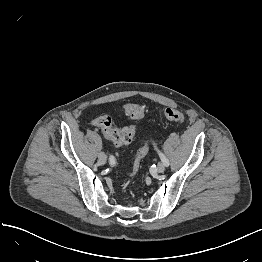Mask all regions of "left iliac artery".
<instances>
[{
    "label": "left iliac artery",
    "instance_id": "44dca946",
    "mask_svg": "<svg viewBox=\"0 0 262 262\" xmlns=\"http://www.w3.org/2000/svg\"><path fill=\"white\" fill-rule=\"evenodd\" d=\"M156 150H157V152H158V154H159L162 162H163L166 166H168V165H169V160L165 157V155H164L158 148H156Z\"/></svg>",
    "mask_w": 262,
    "mask_h": 262
}]
</instances>
